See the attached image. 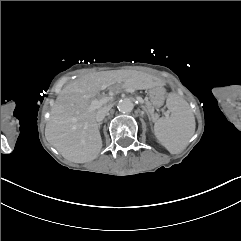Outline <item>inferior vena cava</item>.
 Listing matches in <instances>:
<instances>
[{
  "instance_id": "inferior-vena-cava-1",
  "label": "inferior vena cava",
  "mask_w": 241,
  "mask_h": 241,
  "mask_svg": "<svg viewBox=\"0 0 241 241\" xmlns=\"http://www.w3.org/2000/svg\"><path fill=\"white\" fill-rule=\"evenodd\" d=\"M112 105H107L102 109H99L96 113V121L98 123H100L101 121H103V119L105 118L106 114L108 113V111L111 109Z\"/></svg>"
}]
</instances>
